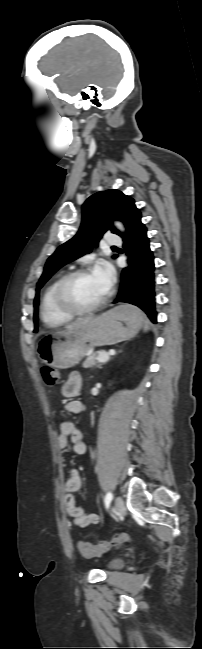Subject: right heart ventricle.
<instances>
[{
    "label": "right heart ventricle",
    "instance_id": "obj_1",
    "mask_svg": "<svg viewBox=\"0 0 202 649\" xmlns=\"http://www.w3.org/2000/svg\"><path fill=\"white\" fill-rule=\"evenodd\" d=\"M62 279L58 276L53 279L45 288L40 305V313L43 322L50 327H59L72 320L73 315L63 311L55 298V290Z\"/></svg>",
    "mask_w": 202,
    "mask_h": 649
}]
</instances>
